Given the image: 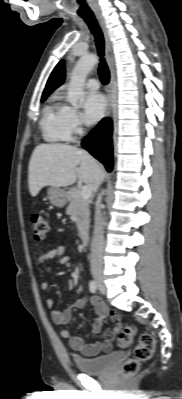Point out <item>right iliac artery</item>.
<instances>
[{"label": "right iliac artery", "mask_w": 182, "mask_h": 399, "mask_svg": "<svg viewBox=\"0 0 182 399\" xmlns=\"http://www.w3.org/2000/svg\"><path fill=\"white\" fill-rule=\"evenodd\" d=\"M89 290L91 293L95 294L97 292V284L95 281L91 280L89 282Z\"/></svg>", "instance_id": "1"}]
</instances>
